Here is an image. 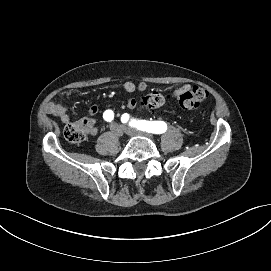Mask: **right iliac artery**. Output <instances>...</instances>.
<instances>
[{
    "mask_svg": "<svg viewBox=\"0 0 271 271\" xmlns=\"http://www.w3.org/2000/svg\"><path fill=\"white\" fill-rule=\"evenodd\" d=\"M103 118L104 120H106L107 122H111L114 118V113L112 110H106L103 114Z\"/></svg>",
    "mask_w": 271,
    "mask_h": 271,
    "instance_id": "obj_1",
    "label": "right iliac artery"
}]
</instances>
